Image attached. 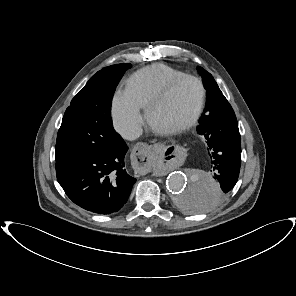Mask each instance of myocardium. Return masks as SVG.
Returning a JSON list of instances; mask_svg holds the SVG:
<instances>
[{
	"label": "myocardium",
	"mask_w": 296,
	"mask_h": 296,
	"mask_svg": "<svg viewBox=\"0 0 296 296\" xmlns=\"http://www.w3.org/2000/svg\"><path fill=\"white\" fill-rule=\"evenodd\" d=\"M183 80H193L198 85L199 98L194 110L185 120H183L178 124H175L169 127L158 126L154 120L155 110L168 98V96L170 95L174 87ZM205 99H206V90L201 79L190 74H182L180 76H177L171 81H169L165 85V87L155 96V98L147 106L146 114H147L148 122L154 130L162 134L171 135V134L182 132L195 124V122L197 121V119L199 118L202 112Z\"/></svg>",
	"instance_id": "f54148a6"
}]
</instances>
